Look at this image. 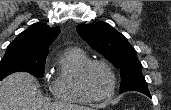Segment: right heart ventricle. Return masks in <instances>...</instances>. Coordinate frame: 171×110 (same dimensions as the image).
Segmentation results:
<instances>
[{
  "label": "right heart ventricle",
  "instance_id": "e07e8e85",
  "mask_svg": "<svg viewBox=\"0 0 171 110\" xmlns=\"http://www.w3.org/2000/svg\"><path fill=\"white\" fill-rule=\"evenodd\" d=\"M91 61L88 54L78 48L71 47L61 53L57 61L55 75L50 83L54 98L72 103H88L91 100L79 87L81 69Z\"/></svg>",
  "mask_w": 171,
  "mask_h": 110
}]
</instances>
